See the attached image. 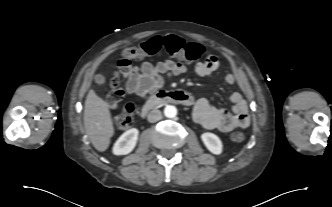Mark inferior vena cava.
Segmentation results:
<instances>
[{"mask_svg": "<svg viewBox=\"0 0 332 207\" xmlns=\"http://www.w3.org/2000/svg\"><path fill=\"white\" fill-rule=\"evenodd\" d=\"M162 118V114L160 110H152L149 112L147 119L149 122L154 123L159 121Z\"/></svg>", "mask_w": 332, "mask_h": 207, "instance_id": "1", "label": "inferior vena cava"}]
</instances>
